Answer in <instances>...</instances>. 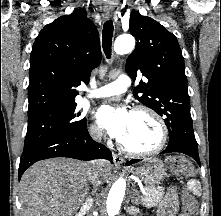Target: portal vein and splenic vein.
<instances>
[{
	"mask_svg": "<svg viewBox=\"0 0 221 216\" xmlns=\"http://www.w3.org/2000/svg\"><path fill=\"white\" fill-rule=\"evenodd\" d=\"M143 195L146 196L147 195V192L146 191H142Z\"/></svg>",
	"mask_w": 221,
	"mask_h": 216,
	"instance_id": "18ae733b",
	"label": "portal vein and splenic vein"
}]
</instances>
